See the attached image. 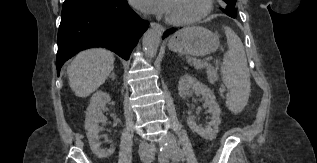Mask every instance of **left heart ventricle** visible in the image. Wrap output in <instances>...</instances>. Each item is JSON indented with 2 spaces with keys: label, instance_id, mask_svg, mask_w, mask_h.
Listing matches in <instances>:
<instances>
[{
  "label": "left heart ventricle",
  "instance_id": "b2bd125f",
  "mask_svg": "<svg viewBox=\"0 0 317 163\" xmlns=\"http://www.w3.org/2000/svg\"><path fill=\"white\" fill-rule=\"evenodd\" d=\"M204 0H172L168 17L186 19L198 14L203 7Z\"/></svg>",
  "mask_w": 317,
  "mask_h": 163
}]
</instances>
